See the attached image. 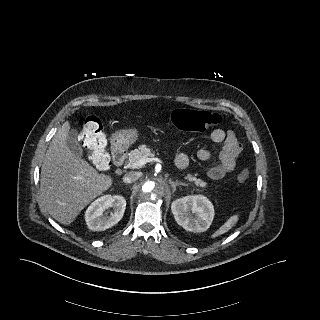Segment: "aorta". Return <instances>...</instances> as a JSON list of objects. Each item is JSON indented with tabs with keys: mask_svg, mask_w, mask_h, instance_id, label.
I'll return each mask as SVG.
<instances>
[{
	"mask_svg": "<svg viewBox=\"0 0 320 320\" xmlns=\"http://www.w3.org/2000/svg\"><path fill=\"white\" fill-rule=\"evenodd\" d=\"M167 191V183L161 178H151L141 185V194L145 201L154 202Z\"/></svg>",
	"mask_w": 320,
	"mask_h": 320,
	"instance_id": "aorta-1",
	"label": "aorta"
}]
</instances>
